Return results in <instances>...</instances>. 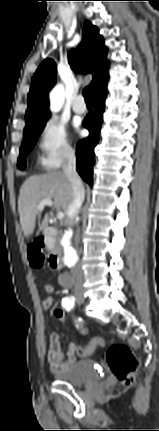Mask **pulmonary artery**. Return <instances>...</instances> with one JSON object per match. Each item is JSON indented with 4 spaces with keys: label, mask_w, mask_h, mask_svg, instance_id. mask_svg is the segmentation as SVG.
Listing matches in <instances>:
<instances>
[{
    "label": "pulmonary artery",
    "mask_w": 159,
    "mask_h": 431,
    "mask_svg": "<svg viewBox=\"0 0 159 431\" xmlns=\"http://www.w3.org/2000/svg\"><path fill=\"white\" fill-rule=\"evenodd\" d=\"M72 109L77 114H83L86 111V105L82 95H78L72 105Z\"/></svg>",
    "instance_id": "1"
}]
</instances>
